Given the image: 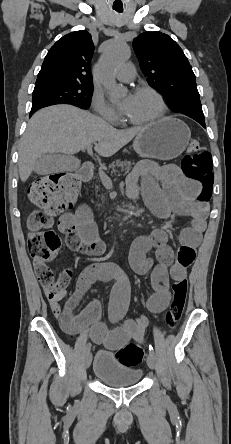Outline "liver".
Here are the masks:
<instances>
[{"label": "liver", "instance_id": "6515ba94", "mask_svg": "<svg viewBox=\"0 0 231 444\" xmlns=\"http://www.w3.org/2000/svg\"><path fill=\"white\" fill-rule=\"evenodd\" d=\"M145 127L118 130L103 119L71 105L43 108L31 117L20 140V179L25 182L29 178L36 159L44 154L72 156L95 144L94 149L99 155L110 157Z\"/></svg>", "mask_w": 231, "mask_h": 444}]
</instances>
